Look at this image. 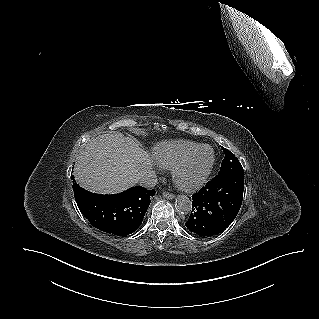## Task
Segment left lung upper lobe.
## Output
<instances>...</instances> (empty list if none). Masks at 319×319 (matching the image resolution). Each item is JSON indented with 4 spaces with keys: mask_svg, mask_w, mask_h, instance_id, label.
<instances>
[{
    "mask_svg": "<svg viewBox=\"0 0 319 319\" xmlns=\"http://www.w3.org/2000/svg\"><path fill=\"white\" fill-rule=\"evenodd\" d=\"M223 151L225 153V157L221 163V168L218 172V175H223L229 172L244 173L242 165L235 155L226 148H223Z\"/></svg>",
    "mask_w": 319,
    "mask_h": 319,
    "instance_id": "1",
    "label": "left lung upper lobe"
}]
</instances>
